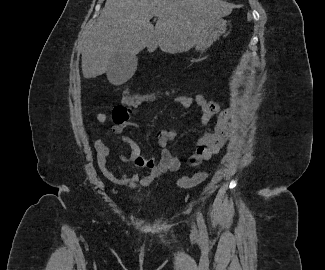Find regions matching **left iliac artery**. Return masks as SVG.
Instances as JSON below:
<instances>
[{"label":"left iliac artery","instance_id":"obj_1","mask_svg":"<svg viewBox=\"0 0 325 270\" xmlns=\"http://www.w3.org/2000/svg\"><path fill=\"white\" fill-rule=\"evenodd\" d=\"M197 222H198V227L200 229V232L202 234L203 237L207 236V229H206V225L204 222V218L203 215L200 211L197 212Z\"/></svg>","mask_w":325,"mask_h":270}]
</instances>
